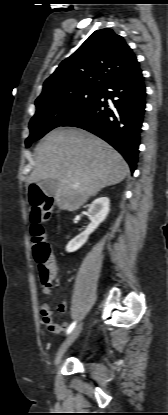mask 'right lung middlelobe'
I'll list each match as a JSON object with an SVG mask.
<instances>
[{"instance_id": "right-lung-middle-lobe-1", "label": "right lung middle lobe", "mask_w": 168, "mask_h": 415, "mask_svg": "<svg viewBox=\"0 0 168 415\" xmlns=\"http://www.w3.org/2000/svg\"><path fill=\"white\" fill-rule=\"evenodd\" d=\"M101 94L102 89H84L36 105V113L29 123L26 147L93 105Z\"/></svg>"}]
</instances>
